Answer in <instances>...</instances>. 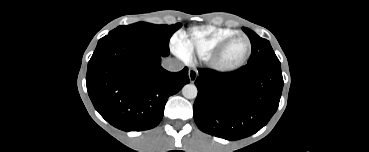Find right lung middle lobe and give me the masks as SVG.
Instances as JSON below:
<instances>
[{
    "instance_id": "obj_1",
    "label": "right lung middle lobe",
    "mask_w": 369,
    "mask_h": 152,
    "mask_svg": "<svg viewBox=\"0 0 369 152\" xmlns=\"http://www.w3.org/2000/svg\"><path fill=\"white\" fill-rule=\"evenodd\" d=\"M182 25H155L138 22L131 25H121L109 32L98 41L97 47L113 40H134L153 47L159 52L169 54V40Z\"/></svg>"
}]
</instances>
